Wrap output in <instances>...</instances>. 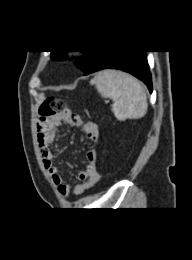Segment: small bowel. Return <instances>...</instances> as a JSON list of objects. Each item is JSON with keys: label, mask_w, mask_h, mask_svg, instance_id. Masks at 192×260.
Wrapping results in <instances>:
<instances>
[{"label": "small bowel", "mask_w": 192, "mask_h": 260, "mask_svg": "<svg viewBox=\"0 0 192 260\" xmlns=\"http://www.w3.org/2000/svg\"><path fill=\"white\" fill-rule=\"evenodd\" d=\"M62 122H66L71 126L81 127L89 139L94 142L99 138V129L94 122H84L78 114L69 110L63 116L47 120L40 119L38 122L37 137L43 164L60 194L67 198L70 191H73L75 195H82L94 187L99 180V172L97 169V152L94 149H90L86 152L87 163L85 169L77 173L76 178L78 182L70 184L64 181L58 167L54 163L56 155L53 151L57 127Z\"/></svg>", "instance_id": "1"}]
</instances>
